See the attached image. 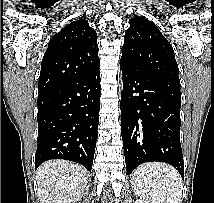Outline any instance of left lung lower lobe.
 <instances>
[{
    "instance_id": "0a47b994",
    "label": "left lung lower lobe",
    "mask_w": 214,
    "mask_h": 203,
    "mask_svg": "<svg viewBox=\"0 0 214 203\" xmlns=\"http://www.w3.org/2000/svg\"><path fill=\"white\" fill-rule=\"evenodd\" d=\"M123 72L121 124L127 174L151 161L174 166L184 180L180 144V84L135 69L120 60Z\"/></svg>"
}]
</instances>
